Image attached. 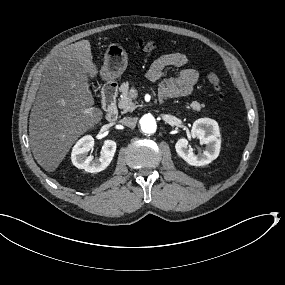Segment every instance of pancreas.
<instances>
[{
	"mask_svg": "<svg viewBox=\"0 0 285 285\" xmlns=\"http://www.w3.org/2000/svg\"><path fill=\"white\" fill-rule=\"evenodd\" d=\"M120 90L124 93H128L130 91V85L128 83H124ZM119 106L126 112H132L136 109L137 105L132 101L128 94L122 95L119 100ZM204 104H200L197 101H193L188 108H192L193 110L200 111Z\"/></svg>",
	"mask_w": 285,
	"mask_h": 285,
	"instance_id": "cf45deb5",
	"label": "pancreas"
}]
</instances>
